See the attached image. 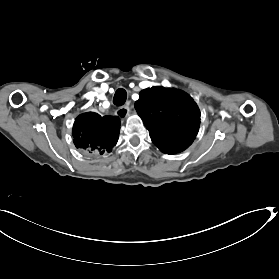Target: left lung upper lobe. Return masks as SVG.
I'll return each instance as SVG.
<instances>
[{"label": "left lung upper lobe", "instance_id": "5c2ea615", "mask_svg": "<svg viewBox=\"0 0 279 279\" xmlns=\"http://www.w3.org/2000/svg\"><path fill=\"white\" fill-rule=\"evenodd\" d=\"M135 109L149 130L152 142L166 154L187 149L200 125V112L188 94L156 86L144 89Z\"/></svg>", "mask_w": 279, "mask_h": 279}]
</instances>
